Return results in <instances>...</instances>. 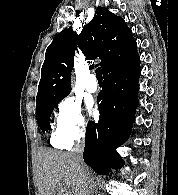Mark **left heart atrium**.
I'll return each instance as SVG.
<instances>
[{
    "instance_id": "obj_1",
    "label": "left heart atrium",
    "mask_w": 178,
    "mask_h": 195,
    "mask_svg": "<svg viewBox=\"0 0 178 195\" xmlns=\"http://www.w3.org/2000/svg\"><path fill=\"white\" fill-rule=\"evenodd\" d=\"M88 112L91 115H94L96 113V109H95L94 104L92 102L88 103Z\"/></svg>"
}]
</instances>
